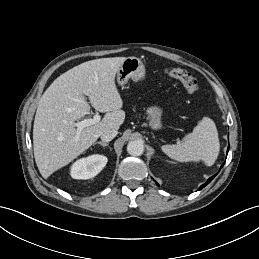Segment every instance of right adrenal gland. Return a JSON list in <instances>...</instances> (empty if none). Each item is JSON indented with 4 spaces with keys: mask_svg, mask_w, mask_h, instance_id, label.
I'll return each mask as SVG.
<instances>
[{
    "mask_svg": "<svg viewBox=\"0 0 259 259\" xmlns=\"http://www.w3.org/2000/svg\"><path fill=\"white\" fill-rule=\"evenodd\" d=\"M95 144H100V145L103 146V147H106V146L109 145V143L101 142V141L94 143V145H95Z\"/></svg>",
    "mask_w": 259,
    "mask_h": 259,
    "instance_id": "right-adrenal-gland-1",
    "label": "right adrenal gland"
}]
</instances>
